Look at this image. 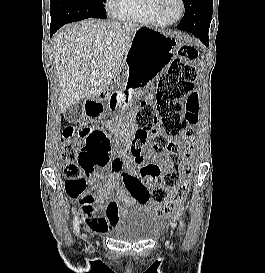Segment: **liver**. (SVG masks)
Masks as SVG:
<instances>
[{
    "mask_svg": "<svg viewBox=\"0 0 265 273\" xmlns=\"http://www.w3.org/2000/svg\"><path fill=\"white\" fill-rule=\"evenodd\" d=\"M138 23L88 19L67 25L54 38L61 111L99 96L119 72Z\"/></svg>",
    "mask_w": 265,
    "mask_h": 273,
    "instance_id": "obj_1",
    "label": "liver"
}]
</instances>
